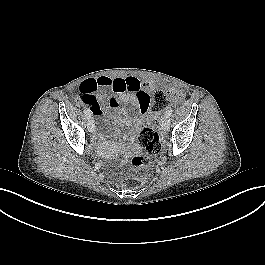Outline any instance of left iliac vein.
I'll return each mask as SVG.
<instances>
[{
	"instance_id": "1",
	"label": "left iliac vein",
	"mask_w": 265,
	"mask_h": 265,
	"mask_svg": "<svg viewBox=\"0 0 265 265\" xmlns=\"http://www.w3.org/2000/svg\"><path fill=\"white\" fill-rule=\"evenodd\" d=\"M162 128L164 131H168L170 128V122H169V118L168 117H164L162 120Z\"/></svg>"
}]
</instances>
